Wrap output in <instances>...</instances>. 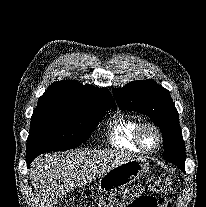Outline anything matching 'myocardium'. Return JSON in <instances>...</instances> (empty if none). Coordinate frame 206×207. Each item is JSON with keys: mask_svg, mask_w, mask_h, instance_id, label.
Here are the masks:
<instances>
[{"mask_svg": "<svg viewBox=\"0 0 206 207\" xmlns=\"http://www.w3.org/2000/svg\"><path fill=\"white\" fill-rule=\"evenodd\" d=\"M145 128L152 129L156 135H157V144L154 148H148L145 146L143 139H142V133ZM135 142L137 146L142 150L144 153H154L162 146L163 143V134L161 129L153 122L150 121H144L139 123L135 130Z\"/></svg>", "mask_w": 206, "mask_h": 207, "instance_id": "myocardium-1", "label": "myocardium"}]
</instances>
